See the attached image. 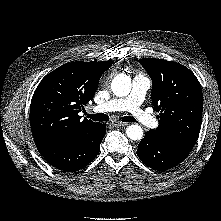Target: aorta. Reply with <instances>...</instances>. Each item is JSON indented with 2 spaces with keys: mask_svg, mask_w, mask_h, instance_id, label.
<instances>
[{
  "mask_svg": "<svg viewBox=\"0 0 221 221\" xmlns=\"http://www.w3.org/2000/svg\"><path fill=\"white\" fill-rule=\"evenodd\" d=\"M111 89L118 97H125L131 91V79L126 74H118L112 81ZM126 134L131 140H140L143 137V129L139 125H130L126 128Z\"/></svg>",
  "mask_w": 221,
  "mask_h": 221,
  "instance_id": "1",
  "label": "aorta"
}]
</instances>
